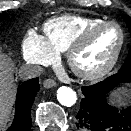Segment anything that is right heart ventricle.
<instances>
[{"label": "right heart ventricle", "instance_id": "e07e8e85", "mask_svg": "<svg viewBox=\"0 0 131 131\" xmlns=\"http://www.w3.org/2000/svg\"><path fill=\"white\" fill-rule=\"evenodd\" d=\"M102 21L100 18L81 15L54 17L43 25L44 39L57 54L63 53L86 29Z\"/></svg>", "mask_w": 131, "mask_h": 131}]
</instances>
